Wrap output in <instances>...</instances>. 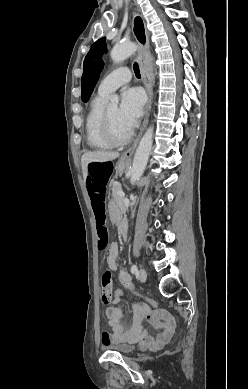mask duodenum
<instances>
[{
    "label": "duodenum",
    "instance_id": "1",
    "mask_svg": "<svg viewBox=\"0 0 248 389\" xmlns=\"http://www.w3.org/2000/svg\"><path fill=\"white\" fill-rule=\"evenodd\" d=\"M119 233L124 236L125 233H126V228H125V225L123 223L120 224L119 226Z\"/></svg>",
    "mask_w": 248,
    "mask_h": 389
}]
</instances>
